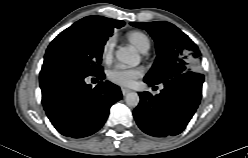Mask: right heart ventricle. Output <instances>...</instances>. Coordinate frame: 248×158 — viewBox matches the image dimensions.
I'll use <instances>...</instances> for the list:
<instances>
[{"mask_svg":"<svg viewBox=\"0 0 248 158\" xmlns=\"http://www.w3.org/2000/svg\"><path fill=\"white\" fill-rule=\"evenodd\" d=\"M129 42L140 52H145L150 47L149 38L142 32L133 31L127 35Z\"/></svg>","mask_w":248,"mask_h":158,"instance_id":"right-heart-ventricle-1","label":"right heart ventricle"}]
</instances>
